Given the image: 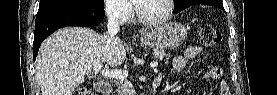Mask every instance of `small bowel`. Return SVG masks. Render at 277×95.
I'll return each instance as SVG.
<instances>
[{"instance_id": "small-bowel-1", "label": "small bowel", "mask_w": 277, "mask_h": 95, "mask_svg": "<svg viewBox=\"0 0 277 95\" xmlns=\"http://www.w3.org/2000/svg\"><path fill=\"white\" fill-rule=\"evenodd\" d=\"M203 50L198 46H191L187 48L182 54L176 56L172 61V68L176 72H182L186 69L188 62L194 58L200 56ZM207 78L211 80H217L220 88V94H230L227 84L222 80V69L220 67H213L209 70ZM155 80H160L161 77H157Z\"/></svg>"}]
</instances>
